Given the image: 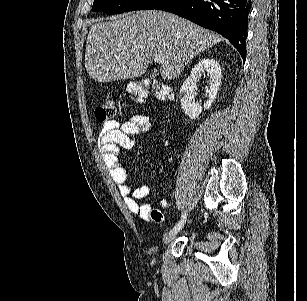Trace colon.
<instances>
[{
	"label": "colon",
	"mask_w": 307,
	"mask_h": 301,
	"mask_svg": "<svg viewBox=\"0 0 307 301\" xmlns=\"http://www.w3.org/2000/svg\"><path fill=\"white\" fill-rule=\"evenodd\" d=\"M127 93L136 103H143L148 92L152 89L158 99L165 100L171 97L170 88L158 81H134L127 85ZM116 115V108L112 100H105L95 109V117L99 122L111 121ZM149 217L154 222H161L164 218L163 213L159 209H151Z\"/></svg>",
	"instance_id": "colon-1"
}]
</instances>
